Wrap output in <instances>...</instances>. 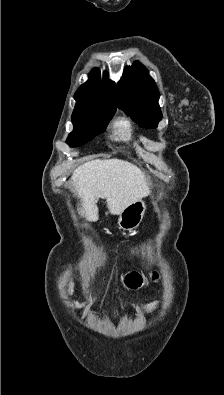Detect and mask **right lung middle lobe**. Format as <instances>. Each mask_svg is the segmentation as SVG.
Masks as SVG:
<instances>
[{
  "label": "right lung middle lobe",
  "mask_w": 224,
  "mask_h": 395,
  "mask_svg": "<svg viewBox=\"0 0 224 395\" xmlns=\"http://www.w3.org/2000/svg\"><path fill=\"white\" fill-rule=\"evenodd\" d=\"M75 100L77 102L72 114L74 129L67 139V143L73 147L85 144L102 133L115 112V109L97 107L77 98Z\"/></svg>",
  "instance_id": "right-lung-middle-lobe-1"
}]
</instances>
